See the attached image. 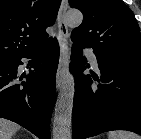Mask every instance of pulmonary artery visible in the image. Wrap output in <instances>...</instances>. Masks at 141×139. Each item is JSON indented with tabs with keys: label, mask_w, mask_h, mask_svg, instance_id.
Wrapping results in <instances>:
<instances>
[{
	"label": "pulmonary artery",
	"mask_w": 141,
	"mask_h": 139,
	"mask_svg": "<svg viewBox=\"0 0 141 139\" xmlns=\"http://www.w3.org/2000/svg\"><path fill=\"white\" fill-rule=\"evenodd\" d=\"M85 54L87 55V57L89 58L92 66L95 68V69H98V62H97V58L95 56V54L92 52V50L90 49H85L84 50Z\"/></svg>",
	"instance_id": "obj_1"
}]
</instances>
